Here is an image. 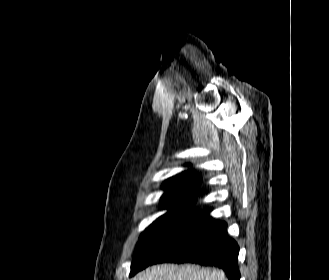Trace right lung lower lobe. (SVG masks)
<instances>
[{
  "mask_svg": "<svg viewBox=\"0 0 329 280\" xmlns=\"http://www.w3.org/2000/svg\"><path fill=\"white\" fill-rule=\"evenodd\" d=\"M238 253L237 243L227 235V224L213 219L207 211L191 221L149 265L199 263L222 268L229 280H239Z\"/></svg>",
  "mask_w": 329,
  "mask_h": 280,
  "instance_id": "right-lung-lower-lobe-1",
  "label": "right lung lower lobe"
}]
</instances>
